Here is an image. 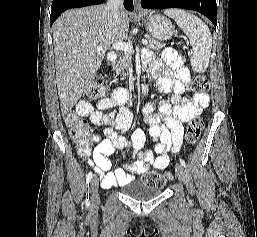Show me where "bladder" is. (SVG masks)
<instances>
[{
    "mask_svg": "<svg viewBox=\"0 0 257 237\" xmlns=\"http://www.w3.org/2000/svg\"><path fill=\"white\" fill-rule=\"evenodd\" d=\"M161 192V187L149 185L140 181H132L126 185V195L139 201L155 198Z\"/></svg>",
    "mask_w": 257,
    "mask_h": 237,
    "instance_id": "bladder-1",
    "label": "bladder"
}]
</instances>
